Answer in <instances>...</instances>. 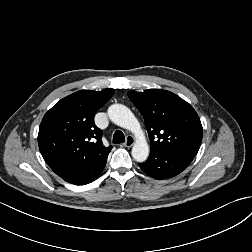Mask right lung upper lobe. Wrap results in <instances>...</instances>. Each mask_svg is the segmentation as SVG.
Instances as JSON below:
<instances>
[{
  "label": "right lung upper lobe",
  "instance_id": "obj_1",
  "mask_svg": "<svg viewBox=\"0 0 252 252\" xmlns=\"http://www.w3.org/2000/svg\"><path fill=\"white\" fill-rule=\"evenodd\" d=\"M114 94L111 88L99 92L80 90L56 103L43 117L39 127L40 152L57 174L107 161L110 147H104L102 132L94 115Z\"/></svg>",
  "mask_w": 252,
  "mask_h": 252
}]
</instances>
